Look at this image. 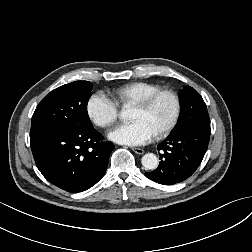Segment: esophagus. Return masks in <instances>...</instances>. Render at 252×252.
<instances>
[{"instance_id":"obj_1","label":"esophagus","mask_w":252,"mask_h":252,"mask_svg":"<svg viewBox=\"0 0 252 252\" xmlns=\"http://www.w3.org/2000/svg\"><path fill=\"white\" fill-rule=\"evenodd\" d=\"M136 154H143L144 153V150L141 149V148H136V147H132L131 148Z\"/></svg>"}]
</instances>
